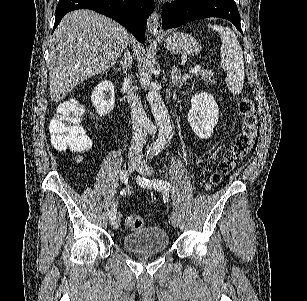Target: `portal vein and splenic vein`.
<instances>
[{
	"mask_svg": "<svg viewBox=\"0 0 307 301\" xmlns=\"http://www.w3.org/2000/svg\"><path fill=\"white\" fill-rule=\"evenodd\" d=\"M202 66L200 64H196V66H193L191 70H189L190 74H193V72H198V70H201Z\"/></svg>",
	"mask_w": 307,
	"mask_h": 301,
	"instance_id": "obj_1",
	"label": "portal vein and splenic vein"
}]
</instances>
